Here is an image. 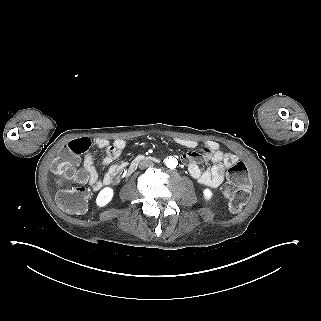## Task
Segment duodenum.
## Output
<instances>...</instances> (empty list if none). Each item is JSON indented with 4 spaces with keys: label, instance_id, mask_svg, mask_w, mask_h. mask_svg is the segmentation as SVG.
I'll return each mask as SVG.
<instances>
[{
    "label": "duodenum",
    "instance_id": "1",
    "mask_svg": "<svg viewBox=\"0 0 321 321\" xmlns=\"http://www.w3.org/2000/svg\"><path fill=\"white\" fill-rule=\"evenodd\" d=\"M155 161L156 159L153 158V157H148V156H144V155H140V156H137L132 162L131 164L129 165L126 173L129 175L131 174L132 172H134L136 170V168L138 167V165L142 162V161Z\"/></svg>",
    "mask_w": 321,
    "mask_h": 321
}]
</instances>
